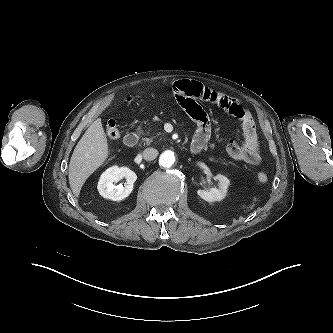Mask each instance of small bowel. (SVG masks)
Masks as SVG:
<instances>
[{
	"mask_svg": "<svg viewBox=\"0 0 333 333\" xmlns=\"http://www.w3.org/2000/svg\"><path fill=\"white\" fill-rule=\"evenodd\" d=\"M173 91L180 105L196 124L192 144H202L204 147L209 141L211 135L209 118L198 103L199 101L208 102L237 117L242 123L243 143L240 144L234 140L229 141L226 146L228 154L233 159L250 165H258L260 163L261 156L255 122L250 111L243 103L219 90L204 86L196 81H178L174 84Z\"/></svg>",
	"mask_w": 333,
	"mask_h": 333,
	"instance_id": "small-bowel-1",
	"label": "small bowel"
}]
</instances>
